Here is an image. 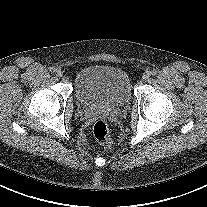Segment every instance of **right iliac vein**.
Wrapping results in <instances>:
<instances>
[{"label": "right iliac vein", "instance_id": "63e3f726", "mask_svg": "<svg viewBox=\"0 0 207 207\" xmlns=\"http://www.w3.org/2000/svg\"><path fill=\"white\" fill-rule=\"evenodd\" d=\"M55 73H56V76L59 78L63 76V72L60 69H56Z\"/></svg>", "mask_w": 207, "mask_h": 207}]
</instances>
